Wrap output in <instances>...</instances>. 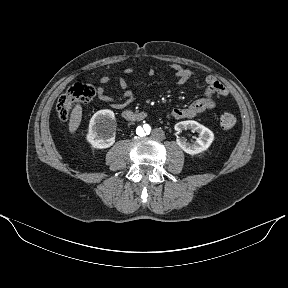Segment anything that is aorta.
<instances>
[{
    "mask_svg": "<svg viewBox=\"0 0 288 288\" xmlns=\"http://www.w3.org/2000/svg\"><path fill=\"white\" fill-rule=\"evenodd\" d=\"M153 131V128L149 124H144L138 127L137 134L141 138H146L151 136V132Z\"/></svg>",
    "mask_w": 288,
    "mask_h": 288,
    "instance_id": "1",
    "label": "aorta"
}]
</instances>
